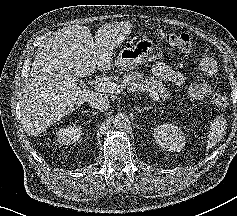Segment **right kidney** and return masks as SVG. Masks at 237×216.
<instances>
[{
	"instance_id": "obj_1",
	"label": "right kidney",
	"mask_w": 237,
	"mask_h": 216,
	"mask_svg": "<svg viewBox=\"0 0 237 216\" xmlns=\"http://www.w3.org/2000/svg\"><path fill=\"white\" fill-rule=\"evenodd\" d=\"M76 132V131H75ZM79 138V135L78 133L76 132V137H75V140Z\"/></svg>"
}]
</instances>
